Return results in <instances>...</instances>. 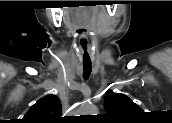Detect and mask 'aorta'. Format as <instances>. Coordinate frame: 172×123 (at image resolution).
Returning <instances> with one entry per match:
<instances>
[{"label": "aorta", "instance_id": "1", "mask_svg": "<svg viewBox=\"0 0 172 123\" xmlns=\"http://www.w3.org/2000/svg\"><path fill=\"white\" fill-rule=\"evenodd\" d=\"M83 112L87 114L96 115L97 107L91 103H86L83 105Z\"/></svg>", "mask_w": 172, "mask_h": 123}]
</instances>
